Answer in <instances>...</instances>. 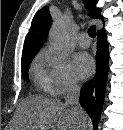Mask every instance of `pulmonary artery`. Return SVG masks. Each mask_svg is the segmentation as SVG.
Returning a JSON list of instances; mask_svg holds the SVG:
<instances>
[{
    "instance_id": "obj_1",
    "label": "pulmonary artery",
    "mask_w": 123,
    "mask_h": 130,
    "mask_svg": "<svg viewBox=\"0 0 123 130\" xmlns=\"http://www.w3.org/2000/svg\"><path fill=\"white\" fill-rule=\"evenodd\" d=\"M77 44L82 48H87L90 45V39L86 33H80L76 38Z\"/></svg>"
}]
</instances>
